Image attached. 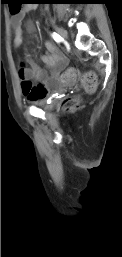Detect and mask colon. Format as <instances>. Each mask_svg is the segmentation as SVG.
I'll use <instances>...</instances> for the list:
<instances>
[{
  "mask_svg": "<svg viewBox=\"0 0 122 257\" xmlns=\"http://www.w3.org/2000/svg\"><path fill=\"white\" fill-rule=\"evenodd\" d=\"M8 10H16V13L18 10H23V5H8ZM77 71L74 69V67H64V70H62V74L60 75V78L58 80L59 84H66L68 87H77L78 83L76 82L77 79ZM82 83L85 86V88L88 91H92L95 88L96 80L92 73H86L82 77ZM79 105V101L76 98L68 99L65 102V106L68 109H75Z\"/></svg>",
  "mask_w": 122,
  "mask_h": 257,
  "instance_id": "1",
  "label": "colon"
}]
</instances>
